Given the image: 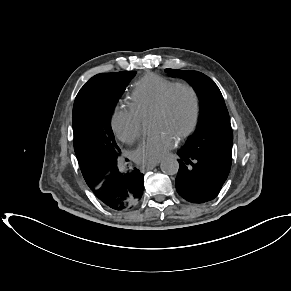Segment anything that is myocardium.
<instances>
[{"mask_svg":"<svg viewBox=\"0 0 291 291\" xmlns=\"http://www.w3.org/2000/svg\"><path fill=\"white\" fill-rule=\"evenodd\" d=\"M178 90H185L186 92H188L189 95L191 96L192 105H193V113H192V119H191L190 124L185 130H183L176 136V139L178 141H183L187 139L188 137H190L195 132L199 124L200 115H201L200 97L194 86H192L188 82H177L174 85H172L166 91L159 107L154 111L152 115L160 116V117L167 116L170 113L171 108H172L174 94Z\"/></svg>","mask_w":291,"mask_h":291,"instance_id":"f54148a6","label":"myocardium"}]
</instances>
